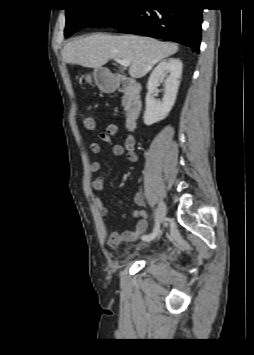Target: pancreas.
Listing matches in <instances>:
<instances>
[{
  "label": "pancreas",
  "instance_id": "1",
  "mask_svg": "<svg viewBox=\"0 0 254 355\" xmlns=\"http://www.w3.org/2000/svg\"><path fill=\"white\" fill-rule=\"evenodd\" d=\"M122 105L127 107V105H128L127 99H125V98L122 99Z\"/></svg>",
  "mask_w": 254,
  "mask_h": 355
}]
</instances>
